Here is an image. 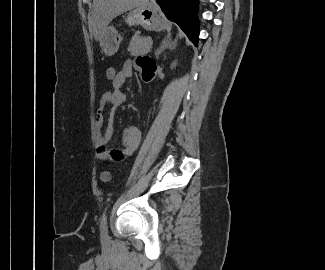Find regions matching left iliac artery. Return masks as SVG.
<instances>
[{
	"label": "left iliac artery",
	"instance_id": "left-iliac-artery-1",
	"mask_svg": "<svg viewBox=\"0 0 325 270\" xmlns=\"http://www.w3.org/2000/svg\"><path fill=\"white\" fill-rule=\"evenodd\" d=\"M100 231L103 237H107L108 234V226H107V216L106 212L103 213L100 221Z\"/></svg>",
	"mask_w": 325,
	"mask_h": 270
}]
</instances>
